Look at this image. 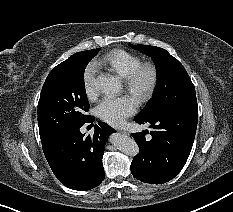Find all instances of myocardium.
I'll use <instances>...</instances> for the list:
<instances>
[{"instance_id": "1", "label": "myocardium", "mask_w": 233, "mask_h": 212, "mask_svg": "<svg viewBox=\"0 0 233 212\" xmlns=\"http://www.w3.org/2000/svg\"><path fill=\"white\" fill-rule=\"evenodd\" d=\"M158 78V69L153 63H141L124 79V85L135 100L142 104L152 97Z\"/></svg>"}]
</instances>
